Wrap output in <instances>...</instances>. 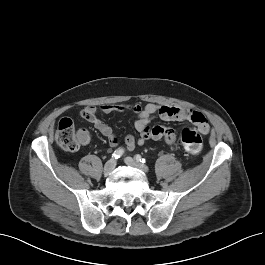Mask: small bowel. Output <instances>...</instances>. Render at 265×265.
<instances>
[{
	"label": "small bowel",
	"instance_id": "c3829d8e",
	"mask_svg": "<svg viewBox=\"0 0 265 265\" xmlns=\"http://www.w3.org/2000/svg\"><path fill=\"white\" fill-rule=\"evenodd\" d=\"M127 109L132 110L138 114V118L135 121V129L139 136L135 138L132 135H127L124 139L125 147L128 151H132L138 145H143L148 139L164 140L167 144L172 145L175 143V132L171 127L167 126H154L150 127L149 122L155 116L159 115L165 121H190L198 130L207 134L210 130V126L207 118L199 111H195L188 108H182L172 105H157L147 104L144 107L135 104L127 106L125 104H106L101 106L103 113L124 112ZM98 110L94 106L84 107L80 114L86 119L92 126L98 130L103 136L108 138L112 147L119 144L118 137L114 134L112 128L100 120L97 116ZM78 136L81 144L86 145L90 141L89 132L81 128L78 130Z\"/></svg>",
	"mask_w": 265,
	"mask_h": 265
}]
</instances>
